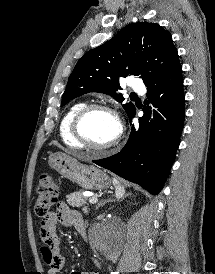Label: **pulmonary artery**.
I'll return each mask as SVG.
<instances>
[{"mask_svg":"<svg viewBox=\"0 0 215 274\" xmlns=\"http://www.w3.org/2000/svg\"><path fill=\"white\" fill-rule=\"evenodd\" d=\"M130 87L133 91L143 93L145 91V87L140 80H133L130 84Z\"/></svg>","mask_w":215,"mask_h":274,"instance_id":"1","label":"pulmonary artery"}]
</instances>
